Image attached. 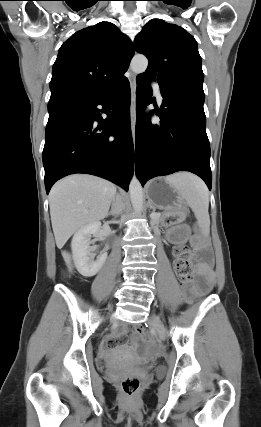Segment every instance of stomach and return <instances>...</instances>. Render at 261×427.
<instances>
[{
  "mask_svg": "<svg viewBox=\"0 0 261 427\" xmlns=\"http://www.w3.org/2000/svg\"><path fill=\"white\" fill-rule=\"evenodd\" d=\"M148 201L151 205L164 210L167 216H185V200L179 190L166 178L151 180L146 187Z\"/></svg>",
  "mask_w": 261,
  "mask_h": 427,
  "instance_id": "0dacf381",
  "label": "stomach"
}]
</instances>
